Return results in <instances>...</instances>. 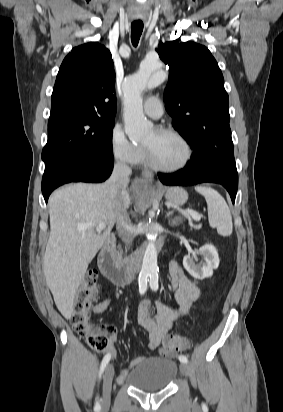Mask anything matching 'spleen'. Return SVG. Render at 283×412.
Masks as SVG:
<instances>
[{"mask_svg":"<svg viewBox=\"0 0 283 412\" xmlns=\"http://www.w3.org/2000/svg\"><path fill=\"white\" fill-rule=\"evenodd\" d=\"M195 190L206 199L210 225L217 229L219 235L230 236L233 230L232 216L224 198L210 187L198 186Z\"/></svg>","mask_w":283,"mask_h":412,"instance_id":"1","label":"spleen"}]
</instances>
